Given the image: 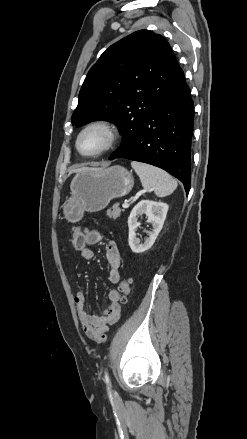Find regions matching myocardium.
<instances>
[{"label": "myocardium", "mask_w": 247, "mask_h": 439, "mask_svg": "<svg viewBox=\"0 0 247 439\" xmlns=\"http://www.w3.org/2000/svg\"><path fill=\"white\" fill-rule=\"evenodd\" d=\"M94 128L103 129L107 134V141L105 145L98 151L93 153H84L80 148V140L87 131ZM119 136H120L119 128L113 121L106 118L94 119L88 122L79 132L76 139V148L78 152L84 157H89V158L97 157L112 149L118 142Z\"/></svg>", "instance_id": "obj_1"}]
</instances>
